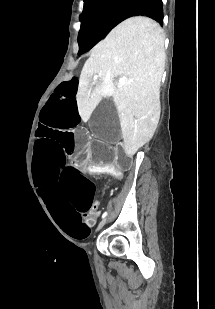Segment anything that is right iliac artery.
Wrapping results in <instances>:
<instances>
[{
  "instance_id": "82829eb1",
  "label": "right iliac artery",
  "mask_w": 215,
  "mask_h": 309,
  "mask_svg": "<svg viewBox=\"0 0 215 309\" xmlns=\"http://www.w3.org/2000/svg\"><path fill=\"white\" fill-rule=\"evenodd\" d=\"M107 216V212H105L103 215H102V218L106 217Z\"/></svg>"
}]
</instances>
